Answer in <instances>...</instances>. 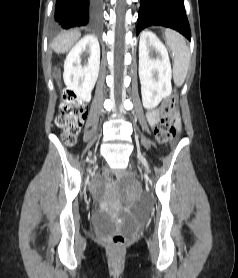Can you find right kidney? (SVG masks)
I'll use <instances>...</instances> for the list:
<instances>
[{
	"label": "right kidney",
	"instance_id": "1",
	"mask_svg": "<svg viewBox=\"0 0 238 278\" xmlns=\"http://www.w3.org/2000/svg\"><path fill=\"white\" fill-rule=\"evenodd\" d=\"M89 48L90 57L86 66L80 65V55ZM100 65V46L95 36L82 38L71 49L64 63V82L74 91L78 98L85 102L91 100V92L98 78Z\"/></svg>",
	"mask_w": 238,
	"mask_h": 278
}]
</instances>
